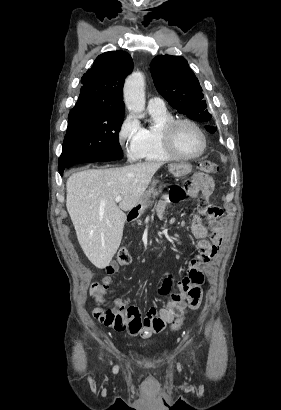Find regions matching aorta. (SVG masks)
Listing matches in <instances>:
<instances>
[{
	"label": "aorta",
	"instance_id": "1",
	"mask_svg": "<svg viewBox=\"0 0 281 410\" xmlns=\"http://www.w3.org/2000/svg\"><path fill=\"white\" fill-rule=\"evenodd\" d=\"M124 102L130 112L141 114L145 110V80L141 72L132 73L124 84Z\"/></svg>",
	"mask_w": 281,
	"mask_h": 410
}]
</instances>
